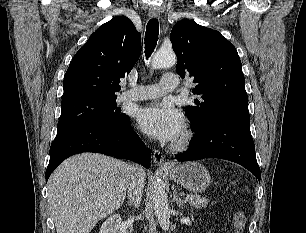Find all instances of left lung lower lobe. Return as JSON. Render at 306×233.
I'll list each match as a JSON object with an SVG mask.
<instances>
[{"instance_id":"left-lung-lower-lobe-1","label":"left lung lower lobe","mask_w":306,"mask_h":233,"mask_svg":"<svg viewBox=\"0 0 306 233\" xmlns=\"http://www.w3.org/2000/svg\"><path fill=\"white\" fill-rule=\"evenodd\" d=\"M192 146L175 156L177 160L203 158L226 159L252 172L260 181L255 146L250 133V120L220 119L193 131Z\"/></svg>"}]
</instances>
